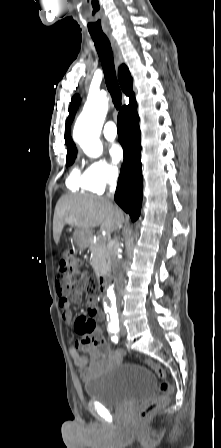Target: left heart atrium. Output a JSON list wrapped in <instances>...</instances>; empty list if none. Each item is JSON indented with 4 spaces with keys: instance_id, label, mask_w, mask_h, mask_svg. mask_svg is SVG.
<instances>
[{
    "instance_id": "39dd6f15",
    "label": "left heart atrium",
    "mask_w": 221,
    "mask_h": 448,
    "mask_svg": "<svg viewBox=\"0 0 221 448\" xmlns=\"http://www.w3.org/2000/svg\"><path fill=\"white\" fill-rule=\"evenodd\" d=\"M109 155H110L111 160L115 164H118L122 161V159L124 157V150L119 144L115 143L110 146Z\"/></svg>"
}]
</instances>
